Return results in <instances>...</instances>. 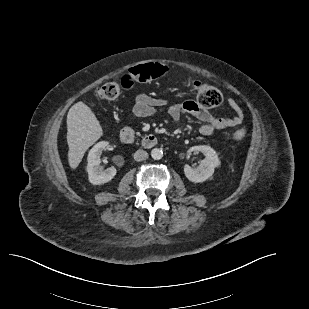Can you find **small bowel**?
<instances>
[{"instance_id":"1","label":"small bowel","mask_w":309,"mask_h":309,"mask_svg":"<svg viewBox=\"0 0 309 309\" xmlns=\"http://www.w3.org/2000/svg\"><path fill=\"white\" fill-rule=\"evenodd\" d=\"M228 104L235 114L230 118H221L213 116L206 108L194 100H186L170 105L166 99L156 98L148 94H139L133 101L129 117L132 119L149 117L165 112L173 120H179L182 115L189 114L202 122L199 129L200 133L209 136L216 131L233 128L242 123L243 112L239 104L234 99H229Z\"/></svg>"}]
</instances>
